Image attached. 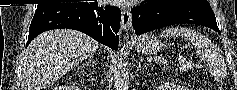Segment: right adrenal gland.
Wrapping results in <instances>:
<instances>
[{"instance_id":"1","label":"right adrenal gland","mask_w":237,"mask_h":90,"mask_svg":"<svg viewBox=\"0 0 237 90\" xmlns=\"http://www.w3.org/2000/svg\"><path fill=\"white\" fill-rule=\"evenodd\" d=\"M90 64H92V58H87V62H85V64H82L80 68H84V66H90Z\"/></svg>"}]
</instances>
